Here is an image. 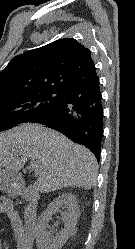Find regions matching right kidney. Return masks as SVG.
Listing matches in <instances>:
<instances>
[{
    "mask_svg": "<svg viewBox=\"0 0 135 249\" xmlns=\"http://www.w3.org/2000/svg\"><path fill=\"white\" fill-rule=\"evenodd\" d=\"M60 208L66 209L62 216L64 228L52 236L48 232V223L52 215L58 213ZM79 214L78 200L75 195L64 193L55 198L39 216L36 232L38 249H61L68 238L74 235Z\"/></svg>",
    "mask_w": 135,
    "mask_h": 249,
    "instance_id": "1",
    "label": "right kidney"
}]
</instances>
